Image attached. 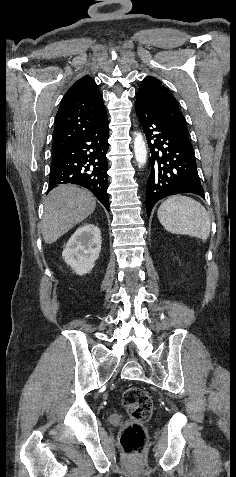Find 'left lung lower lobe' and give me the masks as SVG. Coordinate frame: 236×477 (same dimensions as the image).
Returning <instances> with one entry per match:
<instances>
[{"mask_svg": "<svg viewBox=\"0 0 236 477\" xmlns=\"http://www.w3.org/2000/svg\"><path fill=\"white\" fill-rule=\"evenodd\" d=\"M135 109L151 153L146 189L148 217L155 203L164 197L193 193L204 198L194 149L189 141L179 136L142 100H136Z\"/></svg>", "mask_w": 236, "mask_h": 477, "instance_id": "left-lung-lower-lobe-1", "label": "left lung lower lobe"}]
</instances>
